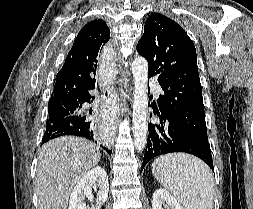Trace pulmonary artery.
Returning <instances> with one entry per match:
<instances>
[{
  "label": "pulmonary artery",
  "instance_id": "pulmonary-artery-1",
  "mask_svg": "<svg viewBox=\"0 0 253 209\" xmlns=\"http://www.w3.org/2000/svg\"><path fill=\"white\" fill-rule=\"evenodd\" d=\"M149 86L155 92L156 95H160L162 93L161 87L156 80L152 79L149 82Z\"/></svg>",
  "mask_w": 253,
  "mask_h": 209
}]
</instances>
